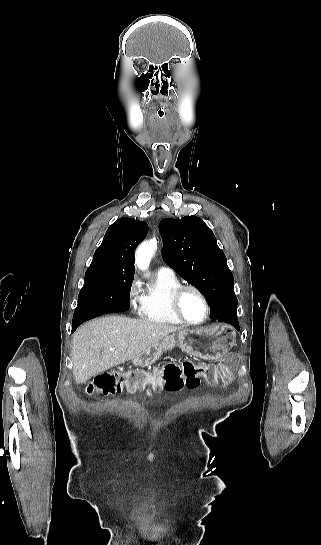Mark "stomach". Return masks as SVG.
<instances>
[{"instance_id":"1","label":"stomach","mask_w":321,"mask_h":545,"mask_svg":"<svg viewBox=\"0 0 321 545\" xmlns=\"http://www.w3.org/2000/svg\"><path fill=\"white\" fill-rule=\"evenodd\" d=\"M236 345V331L230 325L219 323L212 329H186L179 333H172L154 343L149 349L142 351L133 361L134 367H149L160 359L164 351H172L180 347L187 355L198 359L217 361L229 353Z\"/></svg>"}]
</instances>
